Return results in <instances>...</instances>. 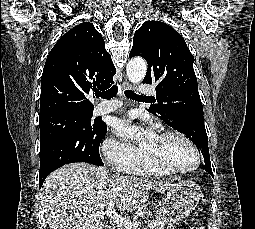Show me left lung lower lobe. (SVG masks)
Masks as SVG:
<instances>
[{
	"instance_id": "obj_1",
	"label": "left lung lower lobe",
	"mask_w": 255,
	"mask_h": 229,
	"mask_svg": "<svg viewBox=\"0 0 255 229\" xmlns=\"http://www.w3.org/2000/svg\"><path fill=\"white\" fill-rule=\"evenodd\" d=\"M189 118H193L194 120V125L197 128L198 131L205 132V125H204V119H203V107H195L193 108L188 115L184 116L182 119L187 120ZM205 165L204 169L213 177V172L211 168V163H210V156H205Z\"/></svg>"
}]
</instances>
